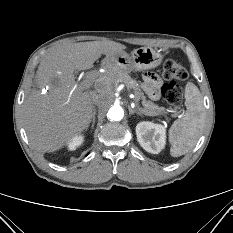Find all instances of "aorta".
Segmentation results:
<instances>
[{"label": "aorta", "instance_id": "aorta-1", "mask_svg": "<svg viewBox=\"0 0 233 233\" xmlns=\"http://www.w3.org/2000/svg\"><path fill=\"white\" fill-rule=\"evenodd\" d=\"M123 116L124 112L120 106H112L107 113V117L113 121H120Z\"/></svg>", "mask_w": 233, "mask_h": 233}]
</instances>
